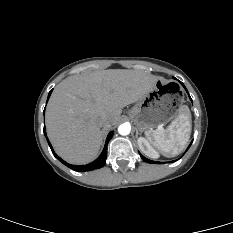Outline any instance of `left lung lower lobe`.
<instances>
[{
	"instance_id": "obj_1",
	"label": "left lung lower lobe",
	"mask_w": 233,
	"mask_h": 233,
	"mask_svg": "<svg viewBox=\"0 0 233 233\" xmlns=\"http://www.w3.org/2000/svg\"><path fill=\"white\" fill-rule=\"evenodd\" d=\"M182 85H183V83H181ZM183 87L185 88V86L183 85ZM186 89V88H185ZM186 91H187V89H186ZM187 93H188V91H187ZM190 97V96H189ZM190 99H191V97H190ZM191 101H192V99H191ZM191 144H192V142L190 143V145L188 146V148H187V150L189 149V147L191 146ZM186 150V151H187ZM140 154V153H139ZM140 156H141V158L145 161V162H147V163H155V164H160V162H157V161H152V160H149V159H147V158H145L143 155H141L140 154ZM171 162H174V161H171Z\"/></svg>"
}]
</instances>
